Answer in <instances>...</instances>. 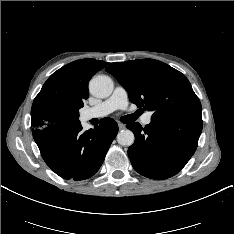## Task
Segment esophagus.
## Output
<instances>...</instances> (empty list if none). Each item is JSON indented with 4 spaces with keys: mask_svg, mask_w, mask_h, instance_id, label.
<instances>
[{
    "mask_svg": "<svg viewBox=\"0 0 234 234\" xmlns=\"http://www.w3.org/2000/svg\"><path fill=\"white\" fill-rule=\"evenodd\" d=\"M118 127L120 130H123V129H125V124L119 122Z\"/></svg>",
    "mask_w": 234,
    "mask_h": 234,
    "instance_id": "obj_1",
    "label": "esophagus"
}]
</instances>
